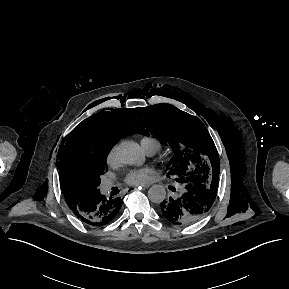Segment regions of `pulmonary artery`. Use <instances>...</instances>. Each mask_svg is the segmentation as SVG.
<instances>
[{"label": "pulmonary artery", "instance_id": "1", "mask_svg": "<svg viewBox=\"0 0 289 289\" xmlns=\"http://www.w3.org/2000/svg\"><path fill=\"white\" fill-rule=\"evenodd\" d=\"M159 149V145L158 144H151L150 146H148L145 151L148 155H153L157 152V150ZM111 184L110 181H106L105 184H104V188H107L109 187Z\"/></svg>", "mask_w": 289, "mask_h": 289}]
</instances>
